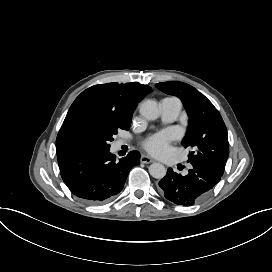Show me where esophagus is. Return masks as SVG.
I'll use <instances>...</instances> for the list:
<instances>
[{"instance_id":"obj_1","label":"esophagus","mask_w":272,"mask_h":272,"mask_svg":"<svg viewBox=\"0 0 272 272\" xmlns=\"http://www.w3.org/2000/svg\"><path fill=\"white\" fill-rule=\"evenodd\" d=\"M140 161L141 163H152L153 159L147 155H142Z\"/></svg>"}]
</instances>
